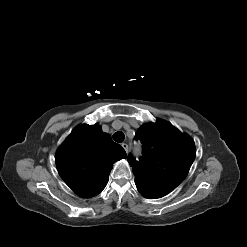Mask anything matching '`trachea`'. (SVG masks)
Here are the masks:
<instances>
[{"label":"trachea","instance_id":"1","mask_svg":"<svg viewBox=\"0 0 247 247\" xmlns=\"http://www.w3.org/2000/svg\"><path fill=\"white\" fill-rule=\"evenodd\" d=\"M113 139H114L115 142L121 143V142L124 141L125 135H124L123 132L119 131V132H116V133L113 134Z\"/></svg>","mask_w":247,"mask_h":247}]
</instances>
